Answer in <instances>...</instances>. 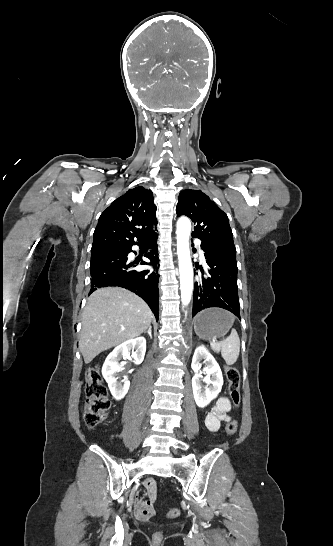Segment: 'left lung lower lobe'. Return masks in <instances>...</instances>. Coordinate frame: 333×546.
<instances>
[{
	"instance_id": "left-lung-lower-lobe-1",
	"label": "left lung lower lobe",
	"mask_w": 333,
	"mask_h": 546,
	"mask_svg": "<svg viewBox=\"0 0 333 546\" xmlns=\"http://www.w3.org/2000/svg\"><path fill=\"white\" fill-rule=\"evenodd\" d=\"M201 248L208 265V278L202 277L194 284L192 315L195 316L199 311L209 307H220L241 319L236 257L227 256L206 242L201 243ZM223 265H227L228 272L219 271ZM196 267L198 268L197 265ZM200 270L204 273L202 268Z\"/></svg>"
}]
</instances>
